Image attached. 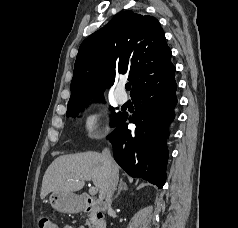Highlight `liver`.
<instances>
[{
	"mask_svg": "<svg viewBox=\"0 0 238 228\" xmlns=\"http://www.w3.org/2000/svg\"><path fill=\"white\" fill-rule=\"evenodd\" d=\"M119 174V167L115 163ZM89 177L99 192V199L105 198L109 171L104 157L98 152L64 155L56 158L47 168L41 187L40 197L44 199L51 192H75L81 190Z\"/></svg>",
	"mask_w": 238,
	"mask_h": 228,
	"instance_id": "liver-1",
	"label": "liver"
}]
</instances>
